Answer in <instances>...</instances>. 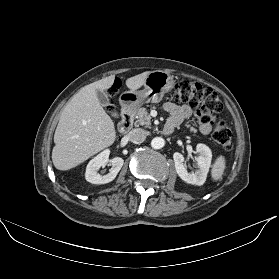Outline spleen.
I'll return each instance as SVG.
<instances>
[{
    "instance_id": "3e777b00",
    "label": "spleen",
    "mask_w": 279,
    "mask_h": 279,
    "mask_svg": "<svg viewBox=\"0 0 279 279\" xmlns=\"http://www.w3.org/2000/svg\"><path fill=\"white\" fill-rule=\"evenodd\" d=\"M226 168L225 157L220 155L212 166L211 176L214 181H218L222 178L224 170Z\"/></svg>"
}]
</instances>
